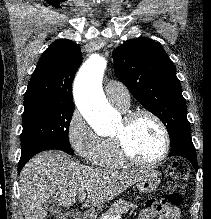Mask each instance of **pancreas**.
<instances>
[{
  "label": "pancreas",
  "instance_id": "1",
  "mask_svg": "<svg viewBox=\"0 0 211 219\" xmlns=\"http://www.w3.org/2000/svg\"><path fill=\"white\" fill-rule=\"evenodd\" d=\"M134 204L131 202H127L125 200H117L111 208L98 219H111L114 216H121L122 214L127 213L131 208H133Z\"/></svg>",
  "mask_w": 211,
  "mask_h": 219
}]
</instances>
